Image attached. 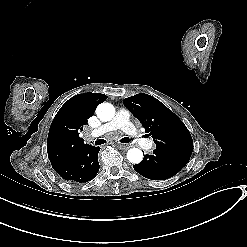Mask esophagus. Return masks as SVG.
<instances>
[{
  "label": "esophagus",
  "mask_w": 247,
  "mask_h": 247,
  "mask_svg": "<svg viewBox=\"0 0 247 247\" xmlns=\"http://www.w3.org/2000/svg\"><path fill=\"white\" fill-rule=\"evenodd\" d=\"M117 148L120 150H127L130 148V146L129 145H117Z\"/></svg>",
  "instance_id": "esophagus-1"
}]
</instances>
